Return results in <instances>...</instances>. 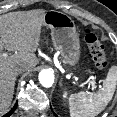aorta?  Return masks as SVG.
<instances>
[{"label":"aorta","mask_w":117,"mask_h":117,"mask_svg":"<svg viewBox=\"0 0 117 117\" xmlns=\"http://www.w3.org/2000/svg\"><path fill=\"white\" fill-rule=\"evenodd\" d=\"M39 82L45 88H50L54 83V75L49 70H43L39 73Z\"/></svg>","instance_id":"obj_1"}]
</instances>
